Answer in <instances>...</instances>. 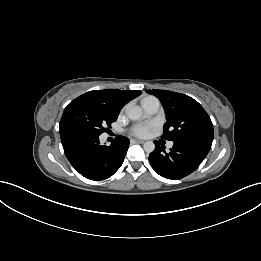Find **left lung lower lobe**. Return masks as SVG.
Masks as SVG:
<instances>
[{
	"label": "left lung lower lobe",
	"mask_w": 261,
	"mask_h": 261,
	"mask_svg": "<svg viewBox=\"0 0 261 261\" xmlns=\"http://www.w3.org/2000/svg\"><path fill=\"white\" fill-rule=\"evenodd\" d=\"M170 152L160 146L157 141L155 150L149 155L153 169L162 177L181 179L195 171L208 154L211 144L198 140L173 141Z\"/></svg>",
	"instance_id": "1"
}]
</instances>
